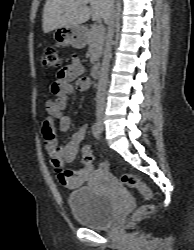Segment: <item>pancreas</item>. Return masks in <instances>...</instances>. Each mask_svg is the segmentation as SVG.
I'll use <instances>...</instances> for the list:
<instances>
[{"mask_svg": "<svg viewBox=\"0 0 194 250\" xmlns=\"http://www.w3.org/2000/svg\"><path fill=\"white\" fill-rule=\"evenodd\" d=\"M87 43L89 44V53L91 63H95L99 60L105 39V28H97V26H91L86 32Z\"/></svg>", "mask_w": 194, "mask_h": 250, "instance_id": "pancreas-1", "label": "pancreas"}]
</instances>
